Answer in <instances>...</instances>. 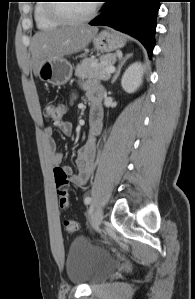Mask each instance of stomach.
<instances>
[{
	"instance_id": "0dacf381",
	"label": "stomach",
	"mask_w": 195,
	"mask_h": 299,
	"mask_svg": "<svg viewBox=\"0 0 195 299\" xmlns=\"http://www.w3.org/2000/svg\"><path fill=\"white\" fill-rule=\"evenodd\" d=\"M92 43L97 51L110 53L122 48L125 45V39L115 32L104 30L93 37ZM72 72V65L62 57L45 61L40 67L38 76L41 81L53 86H61L69 81Z\"/></svg>"
}]
</instances>
